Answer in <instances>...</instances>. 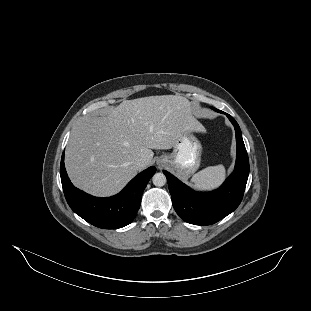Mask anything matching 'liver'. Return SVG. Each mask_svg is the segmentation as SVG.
Listing matches in <instances>:
<instances>
[{
	"mask_svg": "<svg viewBox=\"0 0 311 311\" xmlns=\"http://www.w3.org/2000/svg\"><path fill=\"white\" fill-rule=\"evenodd\" d=\"M188 132L207 134L182 96L125 100L108 117H89L71 132L65 154L73 183L96 195L118 192L152 161V150H171ZM142 159L140 166L135 164Z\"/></svg>",
	"mask_w": 311,
	"mask_h": 311,
	"instance_id": "6515ba94",
	"label": "liver"
}]
</instances>
